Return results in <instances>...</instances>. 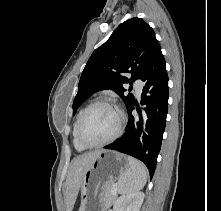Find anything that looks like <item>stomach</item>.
<instances>
[{
    "label": "stomach",
    "mask_w": 221,
    "mask_h": 211,
    "mask_svg": "<svg viewBox=\"0 0 221 211\" xmlns=\"http://www.w3.org/2000/svg\"><path fill=\"white\" fill-rule=\"evenodd\" d=\"M129 167L128 159L123 154L102 151L84 173L78 211H100L105 208L102 203L105 186L117 180Z\"/></svg>",
    "instance_id": "obj_1"
}]
</instances>
